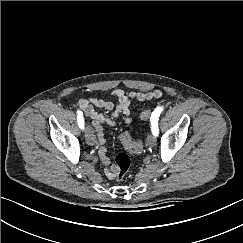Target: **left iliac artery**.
<instances>
[{"label":"left iliac artery","instance_id":"44dca946","mask_svg":"<svg viewBox=\"0 0 243 243\" xmlns=\"http://www.w3.org/2000/svg\"><path fill=\"white\" fill-rule=\"evenodd\" d=\"M163 111V107H157L154 112L152 113V116H151V130H152V133L155 135V136H158V133H159V129H158V120H159V116L161 114V112Z\"/></svg>","mask_w":243,"mask_h":243}]
</instances>
